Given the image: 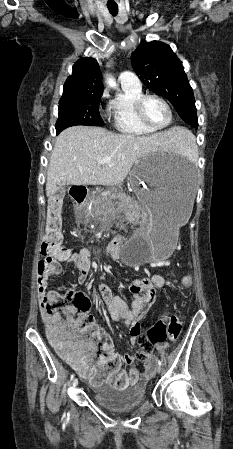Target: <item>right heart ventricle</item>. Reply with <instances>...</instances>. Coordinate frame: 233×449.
<instances>
[{"mask_svg": "<svg viewBox=\"0 0 233 449\" xmlns=\"http://www.w3.org/2000/svg\"><path fill=\"white\" fill-rule=\"evenodd\" d=\"M122 91L111 100L108 113L114 128L122 134L144 137L154 133L145 128L136 118L135 103L143 95L142 87L121 84Z\"/></svg>", "mask_w": 233, "mask_h": 449, "instance_id": "1", "label": "right heart ventricle"}]
</instances>
